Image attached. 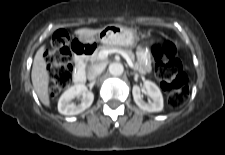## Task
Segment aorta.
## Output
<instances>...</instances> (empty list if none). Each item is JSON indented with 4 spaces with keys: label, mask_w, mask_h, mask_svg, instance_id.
Returning a JSON list of instances; mask_svg holds the SVG:
<instances>
[{
    "label": "aorta",
    "mask_w": 225,
    "mask_h": 155,
    "mask_svg": "<svg viewBox=\"0 0 225 155\" xmlns=\"http://www.w3.org/2000/svg\"><path fill=\"white\" fill-rule=\"evenodd\" d=\"M124 67L121 63L113 62L109 65V72L113 76H120L123 74Z\"/></svg>",
    "instance_id": "obj_1"
}]
</instances>
